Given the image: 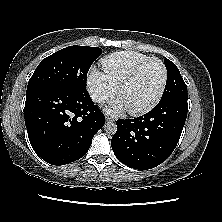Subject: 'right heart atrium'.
<instances>
[{"label": "right heart atrium", "instance_id": "obj_1", "mask_svg": "<svg viewBox=\"0 0 222 222\" xmlns=\"http://www.w3.org/2000/svg\"><path fill=\"white\" fill-rule=\"evenodd\" d=\"M86 83L91 98L97 103L104 102L117 92V87L110 78L96 68L89 70Z\"/></svg>", "mask_w": 222, "mask_h": 222}]
</instances>
